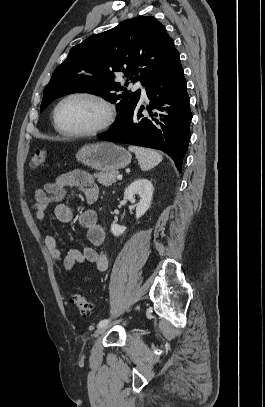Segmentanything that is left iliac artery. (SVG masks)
I'll use <instances>...</instances> for the list:
<instances>
[{
  "label": "left iliac artery",
  "instance_id": "44dca946",
  "mask_svg": "<svg viewBox=\"0 0 265 407\" xmlns=\"http://www.w3.org/2000/svg\"><path fill=\"white\" fill-rule=\"evenodd\" d=\"M108 323H109V319L101 320V321L99 322V324H98V327L107 325Z\"/></svg>",
  "mask_w": 265,
  "mask_h": 407
}]
</instances>
